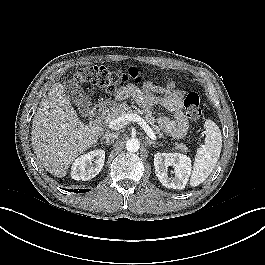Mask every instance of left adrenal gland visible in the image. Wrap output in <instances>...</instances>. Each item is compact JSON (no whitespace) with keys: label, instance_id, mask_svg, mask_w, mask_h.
Returning <instances> with one entry per match:
<instances>
[{"label":"left adrenal gland","instance_id":"obj_1","mask_svg":"<svg viewBox=\"0 0 265 265\" xmlns=\"http://www.w3.org/2000/svg\"><path fill=\"white\" fill-rule=\"evenodd\" d=\"M146 142H147V145L148 146H150V145H159V146H162V144H159V143H157V142H155V141H152V140H150L149 138H146Z\"/></svg>","mask_w":265,"mask_h":265}]
</instances>
